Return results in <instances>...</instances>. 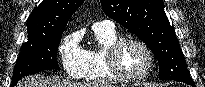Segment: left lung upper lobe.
Returning <instances> with one entry per match:
<instances>
[{
	"label": "left lung upper lobe",
	"mask_w": 205,
	"mask_h": 87,
	"mask_svg": "<svg viewBox=\"0 0 205 87\" xmlns=\"http://www.w3.org/2000/svg\"><path fill=\"white\" fill-rule=\"evenodd\" d=\"M104 13L138 36L159 62L162 80L193 85L179 41L162 0H100Z\"/></svg>",
	"instance_id": "left-lung-upper-lobe-1"
}]
</instances>
